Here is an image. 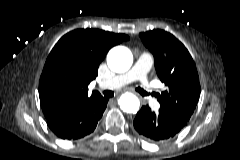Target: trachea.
I'll list each match as a JSON object with an SVG mask.
<instances>
[{
	"instance_id": "1",
	"label": "trachea",
	"mask_w": 240,
	"mask_h": 160,
	"mask_svg": "<svg viewBox=\"0 0 240 160\" xmlns=\"http://www.w3.org/2000/svg\"><path fill=\"white\" fill-rule=\"evenodd\" d=\"M136 91L139 92L142 96H147L148 95V93L145 90H143L142 88H136ZM103 94H104L105 97L114 96V92L110 91V90L104 91Z\"/></svg>"
}]
</instances>
